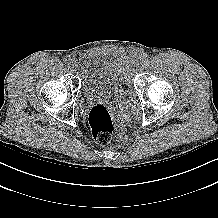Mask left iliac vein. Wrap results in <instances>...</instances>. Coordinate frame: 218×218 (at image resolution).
<instances>
[{
    "mask_svg": "<svg viewBox=\"0 0 218 218\" xmlns=\"http://www.w3.org/2000/svg\"><path fill=\"white\" fill-rule=\"evenodd\" d=\"M139 62H141V61H139ZM132 67H133V68L138 67V62H134V63L132 64ZM143 67H144V66H143Z\"/></svg>",
    "mask_w": 218,
    "mask_h": 218,
    "instance_id": "obj_1",
    "label": "left iliac vein"
}]
</instances>
